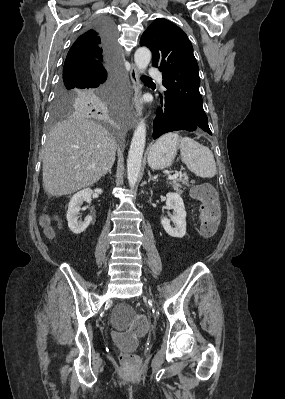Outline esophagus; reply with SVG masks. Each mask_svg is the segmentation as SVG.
Segmentation results:
<instances>
[{
  "label": "esophagus",
  "mask_w": 285,
  "mask_h": 399,
  "mask_svg": "<svg viewBox=\"0 0 285 399\" xmlns=\"http://www.w3.org/2000/svg\"><path fill=\"white\" fill-rule=\"evenodd\" d=\"M130 79L132 83V88L134 90V96H133V103L131 105L128 115H129V124L131 127H134L137 118L142 115V106L139 102L141 96V85L139 81V73L134 63H131Z\"/></svg>",
  "instance_id": "1"
}]
</instances>
